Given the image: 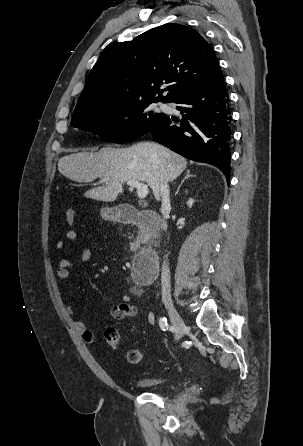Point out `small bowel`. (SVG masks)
<instances>
[{
  "mask_svg": "<svg viewBox=\"0 0 303 446\" xmlns=\"http://www.w3.org/2000/svg\"><path fill=\"white\" fill-rule=\"evenodd\" d=\"M66 239L70 242H75L77 240V233L74 230H68L66 232ZM56 248L58 250H64L66 248V242L63 240L58 241L56 243ZM91 258L92 250L90 248H85L82 250L75 262L68 259H60L56 270L58 282L62 285L68 279L71 270L80 267ZM131 293L133 295H140L141 291L138 288H133ZM63 307L67 316L72 319L74 328L81 335L82 339L87 343H94L96 341V337L93 330L83 321L75 319L73 308L65 299H63ZM110 313L113 318L122 320L125 318L134 317L138 313V309L131 303V296L129 294H125L122 295L121 302L119 304L111 307ZM145 317L149 324L153 325L155 323V316L152 312L147 311L145 313Z\"/></svg>",
  "mask_w": 303,
  "mask_h": 446,
  "instance_id": "1",
  "label": "small bowel"
}]
</instances>
